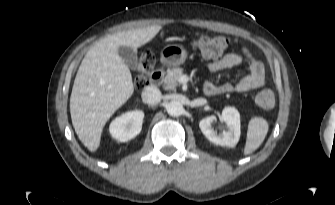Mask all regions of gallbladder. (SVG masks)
<instances>
[{
  "instance_id": "1",
  "label": "gallbladder",
  "mask_w": 335,
  "mask_h": 205,
  "mask_svg": "<svg viewBox=\"0 0 335 205\" xmlns=\"http://www.w3.org/2000/svg\"><path fill=\"white\" fill-rule=\"evenodd\" d=\"M118 54L125 64L132 70L138 69V56L137 51L129 46H120L118 48Z\"/></svg>"
}]
</instances>
